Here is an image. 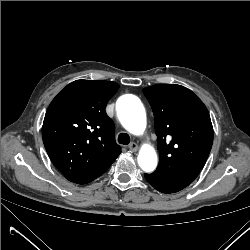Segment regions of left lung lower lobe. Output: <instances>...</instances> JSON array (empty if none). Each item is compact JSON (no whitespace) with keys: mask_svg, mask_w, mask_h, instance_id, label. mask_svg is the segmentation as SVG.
I'll use <instances>...</instances> for the list:
<instances>
[{"mask_svg":"<svg viewBox=\"0 0 250 250\" xmlns=\"http://www.w3.org/2000/svg\"><path fill=\"white\" fill-rule=\"evenodd\" d=\"M200 170L160 171L145 174L146 180L162 193H175L188 186L199 174Z\"/></svg>","mask_w":250,"mask_h":250,"instance_id":"left-lung-lower-lobe-1","label":"left lung lower lobe"}]
</instances>
